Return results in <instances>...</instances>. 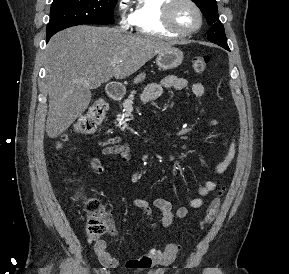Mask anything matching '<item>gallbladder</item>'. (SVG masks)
<instances>
[{
    "label": "gallbladder",
    "instance_id": "bac80fb5",
    "mask_svg": "<svg viewBox=\"0 0 289 274\" xmlns=\"http://www.w3.org/2000/svg\"><path fill=\"white\" fill-rule=\"evenodd\" d=\"M100 85H101V83H99V82H93L92 83V89H96V88L100 87Z\"/></svg>",
    "mask_w": 289,
    "mask_h": 274
}]
</instances>
